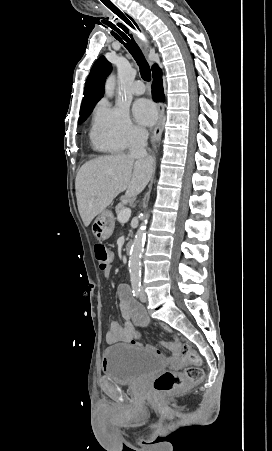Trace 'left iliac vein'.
<instances>
[{"instance_id":"4c4485c4","label":"left iliac vein","mask_w":272,"mask_h":451,"mask_svg":"<svg viewBox=\"0 0 272 451\" xmlns=\"http://www.w3.org/2000/svg\"><path fill=\"white\" fill-rule=\"evenodd\" d=\"M140 300H141V302H146L147 301V296H146V292H145L144 287H142V290H141Z\"/></svg>"}]
</instances>
